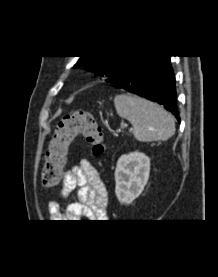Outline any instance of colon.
<instances>
[{"mask_svg":"<svg viewBox=\"0 0 218 277\" xmlns=\"http://www.w3.org/2000/svg\"><path fill=\"white\" fill-rule=\"evenodd\" d=\"M82 136L92 146L94 155H101L106 149L103 133L93 116L87 111H77L62 117L55 127L45 154L42 169V185L47 188L57 185L66 166L70 145Z\"/></svg>","mask_w":218,"mask_h":277,"instance_id":"5ec220e1","label":"colon"}]
</instances>
